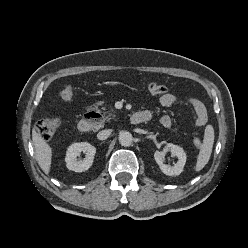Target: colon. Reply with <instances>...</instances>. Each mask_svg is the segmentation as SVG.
I'll use <instances>...</instances> for the list:
<instances>
[{"label":"colon","mask_w":248,"mask_h":248,"mask_svg":"<svg viewBox=\"0 0 248 248\" xmlns=\"http://www.w3.org/2000/svg\"><path fill=\"white\" fill-rule=\"evenodd\" d=\"M147 90L151 95H163L167 92V87L163 84L150 83L147 86ZM60 97L63 101L69 102L74 97V90L71 86H65L60 91ZM60 122L55 118H46L42 119L37 123V130L39 134L44 139H51L58 131ZM194 146L199 149L202 145V142L199 138L193 139Z\"/></svg>","instance_id":"1"}]
</instances>
